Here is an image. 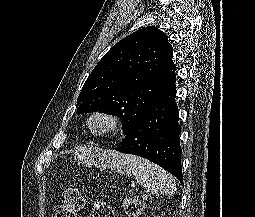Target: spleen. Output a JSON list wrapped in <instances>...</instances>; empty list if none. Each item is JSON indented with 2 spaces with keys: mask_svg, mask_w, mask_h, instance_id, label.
<instances>
[{
  "mask_svg": "<svg viewBox=\"0 0 255 217\" xmlns=\"http://www.w3.org/2000/svg\"><path fill=\"white\" fill-rule=\"evenodd\" d=\"M110 167L121 174H131L145 188L160 195L173 196L175 179L166 170L137 156L116 154L111 157Z\"/></svg>",
  "mask_w": 255,
  "mask_h": 217,
  "instance_id": "1",
  "label": "spleen"
}]
</instances>
